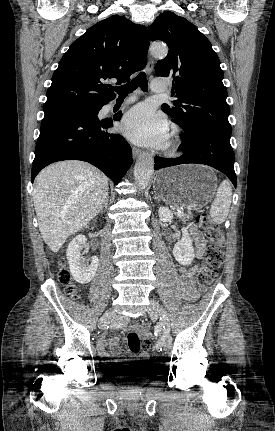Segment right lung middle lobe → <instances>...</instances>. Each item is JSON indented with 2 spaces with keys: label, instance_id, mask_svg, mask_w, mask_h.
Wrapping results in <instances>:
<instances>
[{
  "label": "right lung middle lobe",
  "instance_id": "obj_1",
  "mask_svg": "<svg viewBox=\"0 0 275 431\" xmlns=\"http://www.w3.org/2000/svg\"><path fill=\"white\" fill-rule=\"evenodd\" d=\"M64 111H73V112H81V113H86L89 115H95L96 113V109L93 107H77V108H71V109H67Z\"/></svg>",
  "mask_w": 275,
  "mask_h": 431
}]
</instances>
